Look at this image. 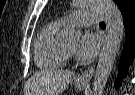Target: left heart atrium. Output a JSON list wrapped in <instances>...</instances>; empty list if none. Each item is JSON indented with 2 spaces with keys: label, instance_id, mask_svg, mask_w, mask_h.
<instances>
[{
  "label": "left heart atrium",
  "instance_id": "1",
  "mask_svg": "<svg viewBox=\"0 0 135 95\" xmlns=\"http://www.w3.org/2000/svg\"><path fill=\"white\" fill-rule=\"evenodd\" d=\"M100 44L101 38L99 35L92 32L84 33L76 49L78 58L83 61L92 60L97 55Z\"/></svg>",
  "mask_w": 135,
  "mask_h": 95
}]
</instances>
